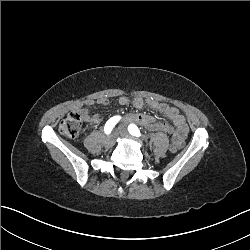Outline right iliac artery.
<instances>
[{
  "mask_svg": "<svg viewBox=\"0 0 250 250\" xmlns=\"http://www.w3.org/2000/svg\"><path fill=\"white\" fill-rule=\"evenodd\" d=\"M120 116H114V117H111L105 124L104 126V131H105V134H110L113 127L116 125V123H118V121L120 120Z\"/></svg>",
  "mask_w": 250,
  "mask_h": 250,
  "instance_id": "obj_1",
  "label": "right iliac artery"
}]
</instances>
